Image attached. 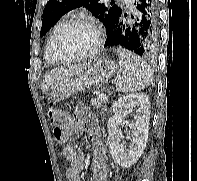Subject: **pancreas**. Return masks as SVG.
<instances>
[{"label":"pancreas","mask_w":197,"mask_h":181,"mask_svg":"<svg viewBox=\"0 0 197 181\" xmlns=\"http://www.w3.org/2000/svg\"><path fill=\"white\" fill-rule=\"evenodd\" d=\"M91 104H92V106H93L94 108L99 109V108H101V107L103 106V101L100 100L99 98H97V99H92V100H91Z\"/></svg>","instance_id":"obj_1"}]
</instances>
